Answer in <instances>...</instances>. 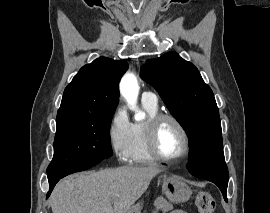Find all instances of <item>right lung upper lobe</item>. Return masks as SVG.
I'll use <instances>...</instances> for the list:
<instances>
[{
  "label": "right lung upper lobe",
  "instance_id": "right-lung-upper-lobe-1",
  "mask_svg": "<svg viewBox=\"0 0 270 213\" xmlns=\"http://www.w3.org/2000/svg\"><path fill=\"white\" fill-rule=\"evenodd\" d=\"M127 68V62L105 57L83 66L65 88L57 115L114 113L118 83Z\"/></svg>",
  "mask_w": 270,
  "mask_h": 213
}]
</instances>
